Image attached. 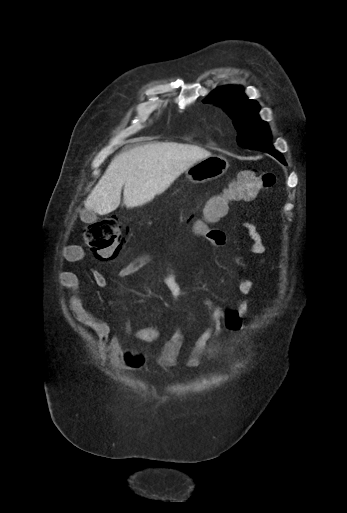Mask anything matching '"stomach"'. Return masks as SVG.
I'll return each instance as SVG.
<instances>
[{
    "mask_svg": "<svg viewBox=\"0 0 347 513\" xmlns=\"http://www.w3.org/2000/svg\"><path fill=\"white\" fill-rule=\"evenodd\" d=\"M228 167L223 156L210 155L187 168L185 174L192 183H205L221 177Z\"/></svg>",
    "mask_w": 347,
    "mask_h": 513,
    "instance_id": "stomach-1",
    "label": "stomach"
}]
</instances>
